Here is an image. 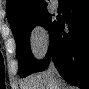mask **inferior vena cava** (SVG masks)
I'll use <instances>...</instances> for the list:
<instances>
[{
	"label": "inferior vena cava",
	"instance_id": "602c4592",
	"mask_svg": "<svg viewBox=\"0 0 89 89\" xmlns=\"http://www.w3.org/2000/svg\"><path fill=\"white\" fill-rule=\"evenodd\" d=\"M48 71H49L50 73L55 74V75L58 74V72H57V70H56V68H55V66H54V64H53V62L50 63Z\"/></svg>",
	"mask_w": 89,
	"mask_h": 89
}]
</instances>
